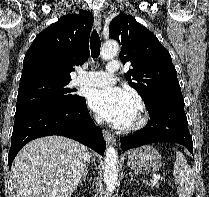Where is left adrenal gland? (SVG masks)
Returning <instances> with one entry per match:
<instances>
[{"label":"left adrenal gland","instance_id":"left-adrenal-gland-1","mask_svg":"<svg viewBox=\"0 0 209 197\" xmlns=\"http://www.w3.org/2000/svg\"><path fill=\"white\" fill-rule=\"evenodd\" d=\"M129 175H130V177H131L130 181H133L134 179H133L132 173H129Z\"/></svg>","mask_w":209,"mask_h":197}]
</instances>
